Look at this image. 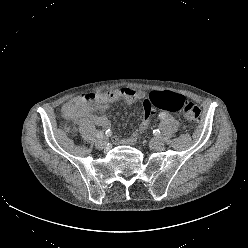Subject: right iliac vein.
I'll list each match as a JSON object with an SVG mask.
<instances>
[{"label": "right iliac vein", "mask_w": 248, "mask_h": 248, "mask_svg": "<svg viewBox=\"0 0 248 248\" xmlns=\"http://www.w3.org/2000/svg\"><path fill=\"white\" fill-rule=\"evenodd\" d=\"M107 145V139L105 137H102L96 141V147L98 149H103Z\"/></svg>", "instance_id": "right-iliac-vein-1"}]
</instances>
